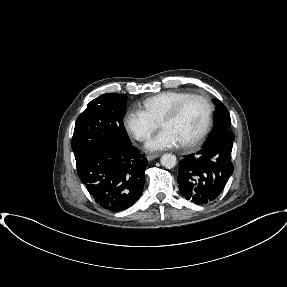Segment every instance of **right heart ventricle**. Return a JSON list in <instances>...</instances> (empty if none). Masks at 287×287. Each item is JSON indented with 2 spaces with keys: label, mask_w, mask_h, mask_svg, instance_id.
Instances as JSON below:
<instances>
[{
  "label": "right heart ventricle",
  "mask_w": 287,
  "mask_h": 287,
  "mask_svg": "<svg viewBox=\"0 0 287 287\" xmlns=\"http://www.w3.org/2000/svg\"><path fill=\"white\" fill-rule=\"evenodd\" d=\"M189 92L168 90L146 98L141 102L142 110L154 121L159 122L163 115Z\"/></svg>",
  "instance_id": "obj_1"
}]
</instances>
